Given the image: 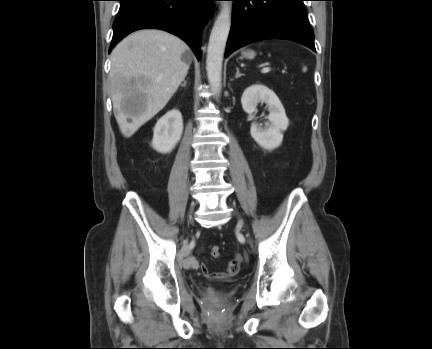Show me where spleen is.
<instances>
[{
    "label": "spleen",
    "instance_id": "3e777b00",
    "mask_svg": "<svg viewBox=\"0 0 432 349\" xmlns=\"http://www.w3.org/2000/svg\"><path fill=\"white\" fill-rule=\"evenodd\" d=\"M306 70H307V68H306V67H304V68H303V71H306Z\"/></svg>",
    "mask_w": 432,
    "mask_h": 349
}]
</instances>
